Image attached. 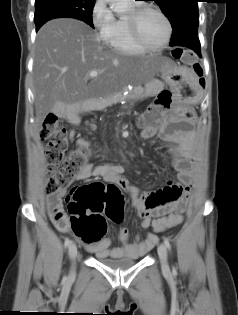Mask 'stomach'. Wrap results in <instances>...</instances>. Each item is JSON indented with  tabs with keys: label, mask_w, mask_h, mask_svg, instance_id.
Wrapping results in <instances>:
<instances>
[{
	"label": "stomach",
	"mask_w": 238,
	"mask_h": 315,
	"mask_svg": "<svg viewBox=\"0 0 238 315\" xmlns=\"http://www.w3.org/2000/svg\"><path fill=\"white\" fill-rule=\"evenodd\" d=\"M161 58L164 66L159 70L158 76H161V80H165L180 98L178 102L174 103L175 115L180 117L181 122H195L199 110L193 109V106L201 100L202 96L200 87H194V73L179 72L172 60Z\"/></svg>",
	"instance_id": "1"
}]
</instances>
